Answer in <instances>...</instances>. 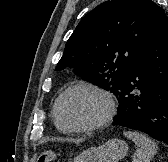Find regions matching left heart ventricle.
<instances>
[{"label":"left heart ventricle","instance_id":"b2bd125f","mask_svg":"<svg viewBox=\"0 0 168 162\" xmlns=\"http://www.w3.org/2000/svg\"><path fill=\"white\" fill-rule=\"evenodd\" d=\"M106 112V102L90 90L69 93L61 101L59 113L62 121L70 126L86 125L98 121Z\"/></svg>","mask_w":168,"mask_h":162}]
</instances>
